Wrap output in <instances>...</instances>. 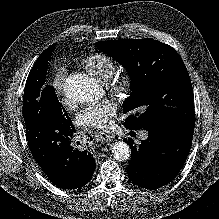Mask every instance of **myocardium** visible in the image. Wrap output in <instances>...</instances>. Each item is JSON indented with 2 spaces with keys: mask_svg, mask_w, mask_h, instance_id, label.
<instances>
[{
  "mask_svg": "<svg viewBox=\"0 0 219 219\" xmlns=\"http://www.w3.org/2000/svg\"><path fill=\"white\" fill-rule=\"evenodd\" d=\"M133 73L126 71L116 75L107 83L108 90L121 100L126 99L131 94L134 87Z\"/></svg>",
  "mask_w": 219,
  "mask_h": 219,
  "instance_id": "f54148a6",
  "label": "myocardium"
}]
</instances>
